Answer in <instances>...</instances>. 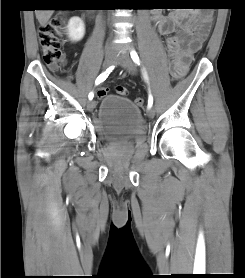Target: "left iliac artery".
I'll use <instances>...</instances> for the list:
<instances>
[{"mask_svg":"<svg viewBox=\"0 0 245 278\" xmlns=\"http://www.w3.org/2000/svg\"><path fill=\"white\" fill-rule=\"evenodd\" d=\"M131 58L136 64L140 65V60H139V57H138V54L136 53V51L133 50L131 52ZM145 78H147L146 75H145ZM152 105H153V96H152L151 92L149 91L148 107H152Z\"/></svg>","mask_w":245,"mask_h":278,"instance_id":"1","label":"left iliac artery"}]
</instances>
